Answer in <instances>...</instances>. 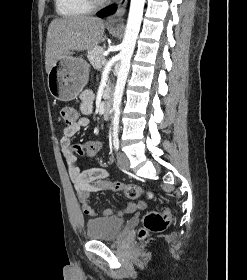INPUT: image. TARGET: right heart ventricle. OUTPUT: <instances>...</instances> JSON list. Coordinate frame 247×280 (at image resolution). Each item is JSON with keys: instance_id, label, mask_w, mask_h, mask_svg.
Returning <instances> with one entry per match:
<instances>
[{"instance_id": "1", "label": "right heart ventricle", "mask_w": 247, "mask_h": 280, "mask_svg": "<svg viewBox=\"0 0 247 280\" xmlns=\"http://www.w3.org/2000/svg\"><path fill=\"white\" fill-rule=\"evenodd\" d=\"M57 13L62 17H77L89 14L93 6L88 0H55Z\"/></svg>"}]
</instances>
